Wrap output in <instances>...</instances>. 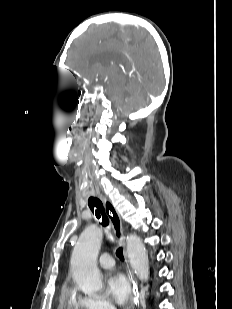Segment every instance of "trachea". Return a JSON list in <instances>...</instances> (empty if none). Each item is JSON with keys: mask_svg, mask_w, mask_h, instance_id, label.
Wrapping results in <instances>:
<instances>
[{"mask_svg": "<svg viewBox=\"0 0 232 309\" xmlns=\"http://www.w3.org/2000/svg\"><path fill=\"white\" fill-rule=\"evenodd\" d=\"M88 205L102 226L107 227L109 225V219L105 213L102 202L98 198L91 196L88 200ZM116 255L120 260H124L123 250L121 247L116 250Z\"/></svg>", "mask_w": 232, "mask_h": 309, "instance_id": "3493384b", "label": "trachea"}]
</instances>
